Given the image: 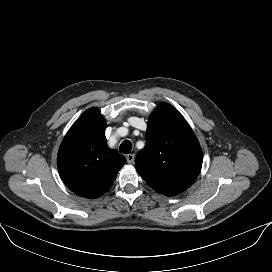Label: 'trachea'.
I'll return each mask as SVG.
<instances>
[{
	"mask_svg": "<svg viewBox=\"0 0 272 272\" xmlns=\"http://www.w3.org/2000/svg\"><path fill=\"white\" fill-rule=\"evenodd\" d=\"M132 149V143L129 140H125L120 145V152L124 154H128L131 152Z\"/></svg>",
	"mask_w": 272,
	"mask_h": 272,
	"instance_id": "trachea-1",
	"label": "trachea"
}]
</instances>
